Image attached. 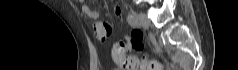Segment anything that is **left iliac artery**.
<instances>
[{
  "instance_id": "obj_1",
  "label": "left iliac artery",
  "mask_w": 238,
  "mask_h": 70,
  "mask_svg": "<svg viewBox=\"0 0 238 70\" xmlns=\"http://www.w3.org/2000/svg\"><path fill=\"white\" fill-rule=\"evenodd\" d=\"M127 21L131 26H136V19L133 13H129L127 16Z\"/></svg>"
}]
</instances>
